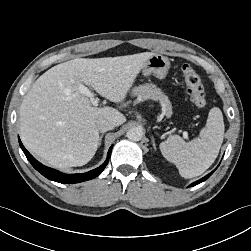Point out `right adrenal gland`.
I'll return each mask as SVG.
<instances>
[{
    "label": "right adrenal gland",
    "instance_id": "right-adrenal-gland-1",
    "mask_svg": "<svg viewBox=\"0 0 251 251\" xmlns=\"http://www.w3.org/2000/svg\"><path fill=\"white\" fill-rule=\"evenodd\" d=\"M102 138H103V134H102V135L100 136V138H99V146L101 145Z\"/></svg>",
    "mask_w": 251,
    "mask_h": 251
}]
</instances>
